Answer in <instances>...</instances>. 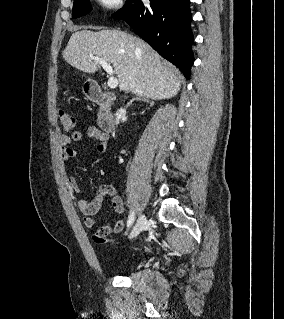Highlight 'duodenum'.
Masks as SVG:
<instances>
[{
  "label": "duodenum",
  "instance_id": "duodenum-1",
  "mask_svg": "<svg viewBox=\"0 0 284 319\" xmlns=\"http://www.w3.org/2000/svg\"><path fill=\"white\" fill-rule=\"evenodd\" d=\"M86 92L89 99L99 107L97 122L100 129L106 133L113 132L115 130V121L111 112L113 94L102 91L97 86H90Z\"/></svg>",
  "mask_w": 284,
  "mask_h": 319
}]
</instances>
